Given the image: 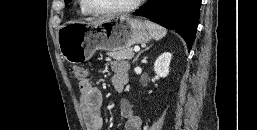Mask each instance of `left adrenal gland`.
I'll return each mask as SVG.
<instances>
[{
  "label": "left adrenal gland",
  "mask_w": 257,
  "mask_h": 130,
  "mask_svg": "<svg viewBox=\"0 0 257 130\" xmlns=\"http://www.w3.org/2000/svg\"><path fill=\"white\" fill-rule=\"evenodd\" d=\"M149 48H150V47H149ZM149 48H146L145 50H147V49H149ZM142 52H144V50H142V51L136 56V58L134 59L133 63L138 60V57L141 55Z\"/></svg>",
  "instance_id": "a2214340"
}]
</instances>
